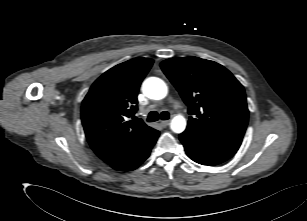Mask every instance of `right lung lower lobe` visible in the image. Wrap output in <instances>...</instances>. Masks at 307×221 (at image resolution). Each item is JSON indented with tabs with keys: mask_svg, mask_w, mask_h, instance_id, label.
I'll return each instance as SVG.
<instances>
[{
	"mask_svg": "<svg viewBox=\"0 0 307 221\" xmlns=\"http://www.w3.org/2000/svg\"><path fill=\"white\" fill-rule=\"evenodd\" d=\"M159 136V131L155 130L150 134V136L143 141L136 149L125 156L122 160L117 163L111 164L110 166L115 170L120 171H131L140 166L150 155V151L154 146L157 138Z\"/></svg>",
	"mask_w": 307,
	"mask_h": 221,
	"instance_id": "1",
	"label": "right lung lower lobe"
}]
</instances>
